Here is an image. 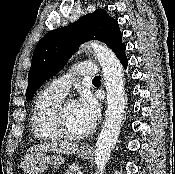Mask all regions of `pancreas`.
I'll return each mask as SVG.
<instances>
[{
    "label": "pancreas",
    "mask_w": 175,
    "mask_h": 174,
    "mask_svg": "<svg viewBox=\"0 0 175 174\" xmlns=\"http://www.w3.org/2000/svg\"><path fill=\"white\" fill-rule=\"evenodd\" d=\"M79 170L78 165H71L69 169H67L66 174H77L76 172Z\"/></svg>",
    "instance_id": "obj_1"
}]
</instances>
